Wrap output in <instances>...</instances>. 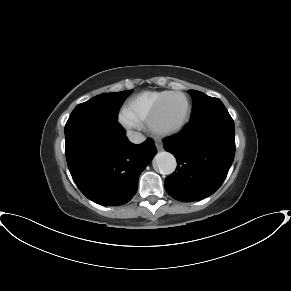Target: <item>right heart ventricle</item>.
<instances>
[{
    "label": "right heart ventricle",
    "instance_id": "1",
    "mask_svg": "<svg viewBox=\"0 0 291 291\" xmlns=\"http://www.w3.org/2000/svg\"><path fill=\"white\" fill-rule=\"evenodd\" d=\"M170 91H144L128 98L125 111L137 122L146 121L157 102Z\"/></svg>",
    "mask_w": 291,
    "mask_h": 291
}]
</instances>
